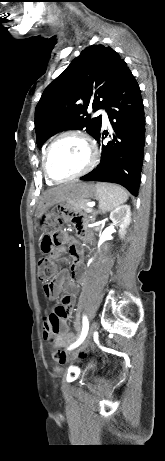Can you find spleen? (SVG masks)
<instances>
[{
  "label": "spleen",
  "mask_w": 165,
  "mask_h": 461,
  "mask_svg": "<svg viewBox=\"0 0 165 461\" xmlns=\"http://www.w3.org/2000/svg\"><path fill=\"white\" fill-rule=\"evenodd\" d=\"M99 208L103 213L109 212L128 199V193L120 186L110 183H97Z\"/></svg>",
  "instance_id": "1"
}]
</instances>
